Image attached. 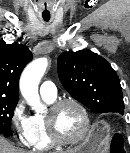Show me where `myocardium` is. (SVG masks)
I'll return each mask as SVG.
<instances>
[{
	"instance_id": "f54148a6",
	"label": "myocardium",
	"mask_w": 130,
	"mask_h": 153,
	"mask_svg": "<svg viewBox=\"0 0 130 153\" xmlns=\"http://www.w3.org/2000/svg\"><path fill=\"white\" fill-rule=\"evenodd\" d=\"M65 105H73L75 106L81 113L83 118V129L81 133L73 139H68L62 137L56 127L55 117L57 112ZM46 127L49 133V136L53 140L54 143L60 145H76L83 142L91 128V121L89 117V113L85 106L76 99L73 98H63L57 101H54L50 107L47 115L45 116Z\"/></svg>"
}]
</instances>
